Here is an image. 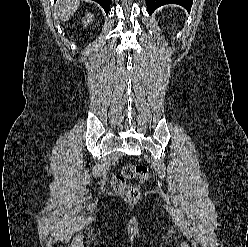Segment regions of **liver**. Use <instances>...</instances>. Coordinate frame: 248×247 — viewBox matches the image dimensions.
Instances as JSON below:
<instances>
[{
  "mask_svg": "<svg viewBox=\"0 0 248 247\" xmlns=\"http://www.w3.org/2000/svg\"><path fill=\"white\" fill-rule=\"evenodd\" d=\"M80 0H57L56 7L62 21H67L77 11Z\"/></svg>",
  "mask_w": 248,
  "mask_h": 247,
  "instance_id": "obj_1",
  "label": "liver"
}]
</instances>
